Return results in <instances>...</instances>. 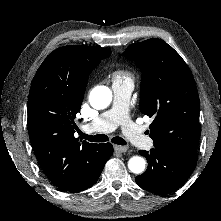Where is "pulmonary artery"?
<instances>
[{"label": "pulmonary artery", "instance_id": "pulmonary-artery-1", "mask_svg": "<svg viewBox=\"0 0 221 221\" xmlns=\"http://www.w3.org/2000/svg\"><path fill=\"white\" fill-rule=\"evenodd\" d=\"M133 88L132 81H114L112 84L113 104L111 108L89 122L84 127L85 131L89 133L110 132L120 126L124 135L132 144L143 149L151 148L153 140L146 136L142 127L135 124L128 115L129 99Z\"/></svg>", "mask_w": 221, "mask_h": 221}]
</instances>
